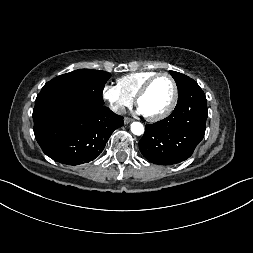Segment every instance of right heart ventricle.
<instances>
[{
	"label": "right heart ventricle",
	"mask_w": 253,
	"mask_h": 253,
	"mask_svg": "<svg viewBox=\"0 0 253 253\" xmlns=\"http://www.w3.org/2000/svg\"><path fill=\"white\" fill-rule=\"evenodd\" d=\"M157 72H134L117 79V86L131 99H134L140 88Z\"/></svg>",
	"instance_id": "1"
}]
</instances>
